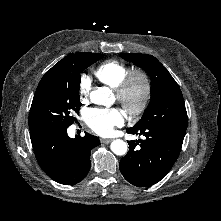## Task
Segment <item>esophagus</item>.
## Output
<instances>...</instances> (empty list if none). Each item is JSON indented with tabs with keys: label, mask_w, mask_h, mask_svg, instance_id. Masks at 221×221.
I'll use <instances>...</instances> for the list:
<instances>
[{
	"label": "esophagus",
	"mask_w": 221,
	"mask_h": 221,
	"mask_svg": "<svg viewBox=\"0 0 221 221\" xmlns=\"http://www.w3.org/2000/svg\"><path fill=\"white\" fill-rule=\"evenodd\" d=\"M112 140L111 139H101V143L109 144Z\"/></svg>",
	"instance_id": "esophagus-1"
}]
</instances>
